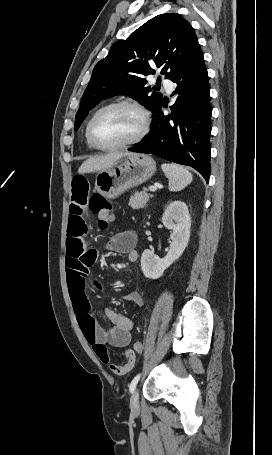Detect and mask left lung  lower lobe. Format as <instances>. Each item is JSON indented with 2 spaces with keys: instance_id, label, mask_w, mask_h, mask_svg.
Wrapping results in <instances>:
<instances>
[{
  "instance_id": "left-lung-lower-lobe-1",
  "label": "left lung lower lobe",
  "mask_w": 272,
  "mask_h": 455,
  "mask_svg": "<svg viewBox=\"0 0 272 455\" xmlns=\"http://www.w3.org/2000/svg\"><path fill=\"white\" fill-rule=\"evenodd\" d=\"M169 79L177 84L171 115L163 114L161 102L153 111L150 134L129 150L191 166L208 182L212 107L203 55Z\"/></svg>"
}]
</instances>
